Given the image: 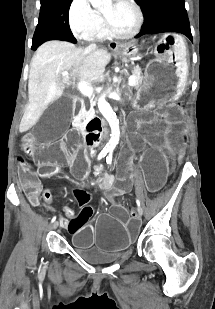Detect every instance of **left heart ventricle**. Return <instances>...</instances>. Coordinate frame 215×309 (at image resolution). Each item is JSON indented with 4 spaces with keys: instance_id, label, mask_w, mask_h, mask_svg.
<instances>
[{
    "instance_id": "1",
    "label": "left heart ventricle",
    "mask_w": 215,
    "mask_h": 309,
    "mask_svg": "<svg viewBox=\"0 0 215 309\" xmlns=\"http://www.w3.org/2000/svg\"><path fill=\"white\" fill-rule=\"evenodd\" d=\"M110 24L115 25L116 29H129L132 23V14L124 9L119 8L118 10H111Z\"/></svg>"
}]
</instances>
